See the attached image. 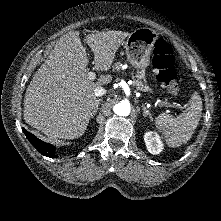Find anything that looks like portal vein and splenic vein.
<instances>
[{"label":"portal vein and splenic vein","instance_id":"portal-vein-and-splenic-vein-1","mask_svg":"<svg viewBox=\"0 0 221 221\" xmlns=\"http://www.w3.org/2000/svg\"><path fill=\"white\" fill-rule=\"evenodd\" d=\"M87 75H88V78H89L90 80L96 79V75H95V73H94L93 71L88 72Z\"/></svg>","mask_w":221,"mask_h":221}]
</instances>
